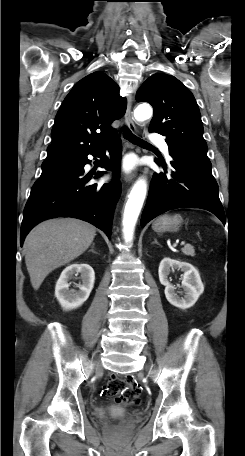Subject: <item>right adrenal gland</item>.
<instances>
[{
  "label": "right adrenal gland",
  "instance_id": "obj_1",
  "mask_svg": "<svg viewBox=\"0 0 245 456\" xmlns=\"http://www.w3.org/2000/svg\"><path fill=\"white\" fill-rule=\"evenodd\" d=\"M89 251H91V252H93V253H96V254H97V252L94 250V244L92 245V247H91V249H90Z\"/></svg>",
  "mask_w": 245,
  "mask_h": 456
}]
</instances>
